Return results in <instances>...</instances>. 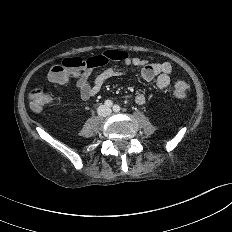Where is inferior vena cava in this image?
<instances>
[{"label": "inferior vena cava", "mask_w": 232, "mask_h": 232, "mask_svg": "<svg viewBox=\"0 0 232 232\" xmlns=\"http://www.w3.org/2000/svg\"><path fill=\"white\" fill-rule=\"evenodd\" d=\"M111 113V109L105 105H101L99 108H98V114L100 116H107Z\"/></svg>", "instance_id": "inferior-vena-cava-1"}]
</instances>
